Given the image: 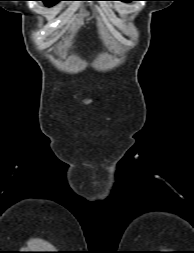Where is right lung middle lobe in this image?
Masks as SVG:
<instances>
[{
    "label": "right lung middle lobe",
    "mask_w": 194,
    "mask_h": 253,
    "mask_svg": "<svg viewBox=\"0 0 194 253\" xmlns=\"http://www.w3.org/2000/svg\"><path fill=\"white\" fill-rule=\"evenodd\" d=\"M43 1L47 6H52L58 3L59 1H64V0H39Z\"/></svg>",
    "instance_id": "dd1d6c3e"
}]
</instances>
